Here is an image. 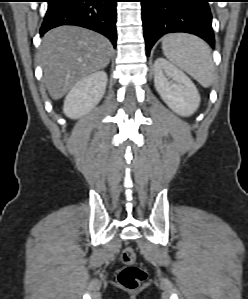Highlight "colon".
I'll use <instances>...</instances> for the list:
<instances>
[{"instance_id":"colon-1","label":"colon","mask_w":248,"mask_h":299,"mask_svg":"<svg viewBox=\"0 0 248 299\" xmlns=\"http://www.w3.org/2000/svg\"><path fill=\"white\" fill-rule=\"evenodd\" d=\"M121 262L124 267L118 274V283L125 289L135 290L146 279V270L137 264L134 249L127 246L121 253Z\"/></svg>"}]
</instances>
